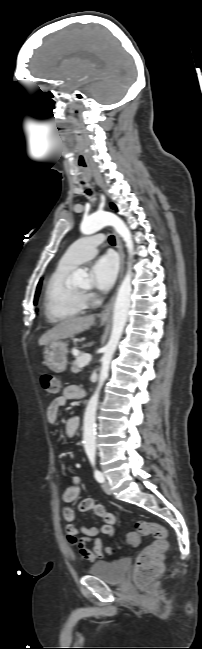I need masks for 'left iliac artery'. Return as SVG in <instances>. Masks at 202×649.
I'll list each match as a JSON object with an SVG mask.
<instances>
[{
  "label": "left iliac artery",
  "mask_w": 202,
  "mask_h": 649,
  "mask_svg": "<svg viewBox=\"0 0 202 649\" xmlns=\"http://www.w3.org/2000/svg\"><path fill=\"white\" fill-rule=\"evenodd\" d=\"M89 459H90V462H91L92 466L95 467V456L91 455V456L89 457ZM94 476H95V479H96L99 483L104 482V476H103V474H102L98 469H94Z\"/></svg>",
  "instance_id": "44dca946"
}]
</instances>
